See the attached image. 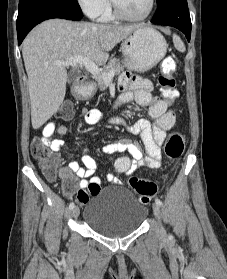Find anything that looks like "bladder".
<instances>
[{"label":"bladder","mask_w":227,"mask_h":279,"mask_svg":"<svg viewBox=\"0 0 227 279\" xmlns=\"http://www.w3.org/2000/svg\"><path fill=\"white\" fill-rule=\"evenodd\" d=\"M105 191L92 193L85 204L83 220L96 233L118 238L138 229L148 210L128 188L118 186L107 196Z\"/></svg>","instance_id":"obj_1"}]
</instances>
